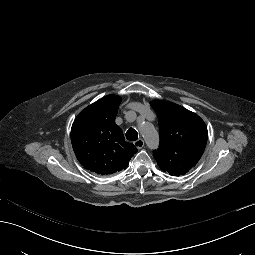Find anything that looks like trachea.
Masks as SVG:
<instances>
[{
    "instance_id": "1",
    "label": "trachea",
    "mask_w": 255,
    "mask_h": 255,
    "mask_svg": "<svg viewBox=\"0 0 255 255\" xmlns=\"http://www.w3.org/2000/svg\"><path fill=\"white\" fill-rule=\"evenodd\" d=\"M126 138L129 141H136L138 139V133L134 128H130L127 132H126Z\"/></svg>"
}]
</instances>
